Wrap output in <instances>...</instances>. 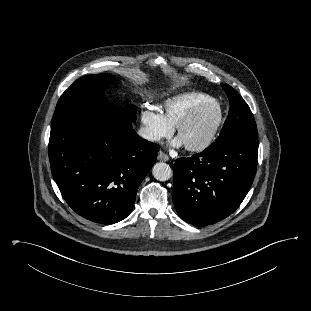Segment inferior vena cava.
Here are the masks:
<instances>
[{
  "instance_id": "inferior-vena-cava-1",
  "label": "inferior vena cava",
  "mask_w": 311,
  "mask_h": 311,
  "mask_svg": "<svg viewBox=\"0 0 311 311\" xmlns=\"http://www.w3.org/2000/svg\"><path fill=\"white\" fill-rule=\"evenodd\" d=\"M138 135L142 138L148 140V141H157L160 139L158 135L153 133L149 128L147 127H141L138 131Z\"/></svg>"
}]
</instances>
